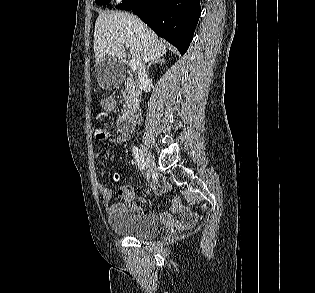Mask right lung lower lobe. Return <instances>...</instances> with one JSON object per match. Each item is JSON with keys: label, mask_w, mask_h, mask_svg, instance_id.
Masks as SVG:
<instances>
[{"label": "right lung lower lobe", "mask_w": 315, "mask_h": 293, "mask_svg": "<svg viewBox=\"0 0 315 293\" xmlns=\"http://www.w3.org/2000/svg\"><path fill=\"white\" fill-rule=\"evenodd\" d=\"M116 8L133 11L182 55L192 41L201 13L199 0H124Z\"/></svg>", "instance_id": "right-lung-lower-lobe-1"}]
</instances>
